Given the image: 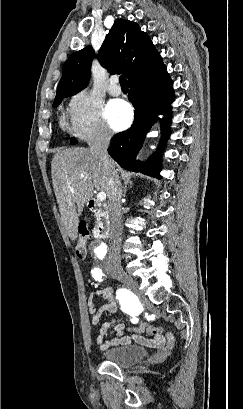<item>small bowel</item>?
<instances>
[{"label":"small bowel","instance_id":"obj_1","mask_svg":"<svg viewBox=\"0 0 243 409\" xmlns=\"http://www.w3.org/2000/svg\"><path fill=\"white\" fill-rule=\"evenodd\" d=\"M97 297L103 300L101 305L96 304ZM87 307L92 314L91 322L93 325L99 324L104 313L116 314L118 307L114 291L111 288H105L94 292L88 298ZM129 314L132 322L138 319L135 313ZM113 325L118 337L107 340L105 337L110 327ZM126 331H130L132 334L127 335ZM163 331L164 329L162 326L155 327L148 322L142 323L138 327L127 328L123 322H117L115 319H112L105 321L100 325L96 340L100 350H106L110 347L122 346L135 342L139 345L163 349V353L167 354L174 346L175 336L172 332H168L166 336H164ZM144 332L147 333L146 336L142 335Z\"/></svg>","mask_w":243,"mask_h":409}]
</instances>
